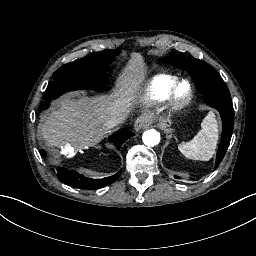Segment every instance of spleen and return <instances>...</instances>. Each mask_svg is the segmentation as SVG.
I'll return each instance as SVG.
<instances>
[{
	"label": "spleen",
	"instance_id": "3e777b00",
	"mask_svg": "<svg viewBox=\"0 0 256 256\" xmlns=\"http://www.w3.org/2000/svg\"><path fill=\"white\" fill-rule=\"evenodd\" d=\"M202 130L187 143L178 145V150L187 158L207 161L215 153L218 141V129L213 112H210L201 123Z\"/></svg>",
	"mask_w": 256,
	"mask_h": 256
}]
</instances>
